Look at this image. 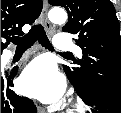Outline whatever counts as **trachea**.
Segmentation results:
<instances>
[{
  "label": "trachea",
  "instance_id": "3493384b",
  "mask_svg": "<svg viewBox=\"0 0 121 113\" xmlns=\"http://www.w3.org/2000/svg\"><path fill=\"white\" fill-rule=\"evenodd\" d=\"M45 47L46 49L53 50V47L45 33L44 27L40 24L34 25L30 32L23 37H12L10 41L17 45L18 50H26L30 48L36 41ZM69 55V52L62 53Z\"/></svg>",
  "mask_w": 121,
  "mask_h": 113
}]
</instances>
